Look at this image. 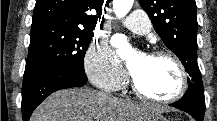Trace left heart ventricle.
Returning a JSON list of instances; mask_svg holds the SVG:
<instances>
[{
  "label": "left heart ventricle",
  "instance_id": "b2bd125f",
  "mask_svg": "<svg viewBox=\"0 0 217 121\" xmlns=\"http://www.w3.org/2000/svg\"><path fill=\"white\" fill-rule=\"evenodd\" d=\"M139 87L156 97L172 94L178 86V73L166 58L145 57L133 75Z\"/></svg>",
  "mask_w": 217,
  "mask_h": 121
}]
</instances>
